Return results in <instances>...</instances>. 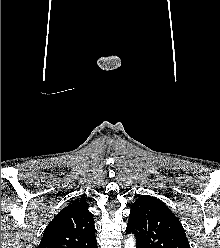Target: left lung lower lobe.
<instances>
[{"instance_id": "left-lung-lower-lobe-1", "label": "left lung lower lobe", "mask_w": 220, "mask_h": 248, "mask_svg": "<svg viewBox=\"0 0 220 248\" xmlns=\"http://www.w3.org/2000/svg\"><path fill=\"white\" fill-rule=\"evenodd\" d=\"M136 248H142L141 246H139L138 244L136 245Z\"/></svg>"}]
</instances>
